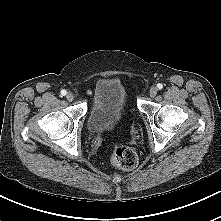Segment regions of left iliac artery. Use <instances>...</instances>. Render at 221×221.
Segmentation results:
<instances>
[{
  "label": "left iliac artery",
  "instance_id": "obj_1",
  "mask_svg": "<svg viewBox=\"0 0 221 221\" xmlns=\"http://www.w3.org/2000/svg\"><path fill=\"white\" fill-rule=\"evenodd\" d=\"M157 88L160 90L163 88V85L161 83L157 84Z\"/></svg>",
  "mask_w": 221,
  "mask_h": 221
}]
</instances>
